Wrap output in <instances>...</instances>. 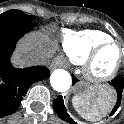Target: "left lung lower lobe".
<instances>
[{"label":"left lung lower lobe","mask_w":124,"mask_h":124,"mask_svg":"<svg viewBox=\"0 0 124 124\" xmlns=\"http://www.w3.org/2000/svg\"><path fill=\"white\" fill-rule=\"evenodd\" d=\"M75 80H73V84H74ZM112 87L115 89L116 91V101L114 108L112 109L110 115L114 114L117 109L120 106L121 103V99H122V92H123V87H124V77L122 75L117 76L112 82H111ZM53 108L56 111V113L58 114V116L70 123V124H77L73 121L72 118H70V116L67 114L66 112V108L64 106V102L62 99V96L59 95L53 102Z\"/></svg>","instance_id":"0a47b994"}]
</instances>
